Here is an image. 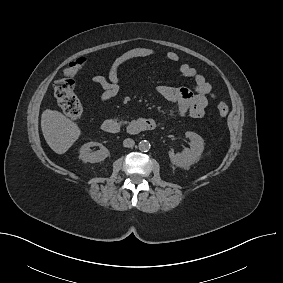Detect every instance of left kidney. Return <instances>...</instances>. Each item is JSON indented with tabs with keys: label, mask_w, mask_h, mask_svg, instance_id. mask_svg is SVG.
<instances>
[{
	"label": "left kidney",
	"mask_w": 283,
	"mask_h": 283,
	"mask_svg": "<svg viewBox=\"0 0 283 283\" xmlns=\"http://www.w3.org/2000/svg\"><path fill=\"white\" fill-rule=\"evenodd\" d=\"M185 136L190 139V148L184 149L181 153L169 152L170 160L178 167L188 169L197 162L204 150V140L197 133L187 131Z\"/></svg>",
	"instance_id": "1"
}]
</instances>
